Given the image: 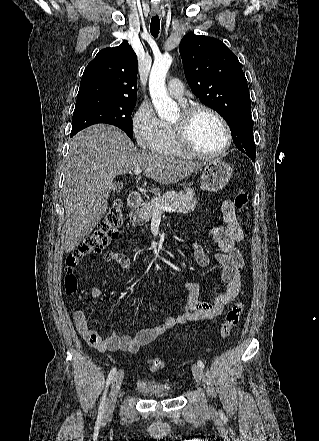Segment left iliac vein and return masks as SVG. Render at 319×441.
Masks as SVG:
<instances>
[{"mask_svg": "<svg viewBox=\"0 0 319 441\" xmlns=\"http://www.w3.org/2000/svg\"><path fill=\"white\" fill-rule=\"evenodd\" d=\"M192 372H193V375H194L196 382L200 385H203L205 378H204V373H203L202 368L197 364H193L192 365Z\"/></svg>", "mask_w": 319, "mask_h": 441, "instance_id": "1", "label": "left iliac vein"}]
</instances>
